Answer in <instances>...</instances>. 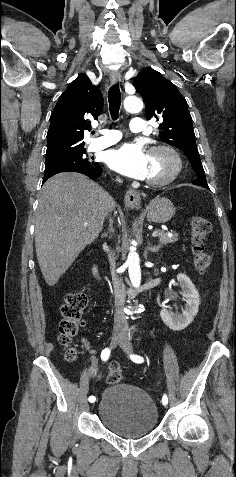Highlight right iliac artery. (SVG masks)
Instances as JSON below:
<instances>
[{
	"mask_svg": "<svg viewBox=\"0 0 236 477\" xmlns=\"http://www.w3.org/2000/svg\"><path fill=\"white\" fill-rule=\"evenodd\" d=\"M110 349L109 348H105L104 350H102L101 352V359L106 362L108 359H109V356H110ZM88 403L91 404V405H95L97 403V400H96V397L95 396H90L88 398Z\"/></svg>",
	"mask_w": 236,
	"mask_h": 477,
	"instance_id": "1",
	"label": "right iliac artery"
}]
</instances>
